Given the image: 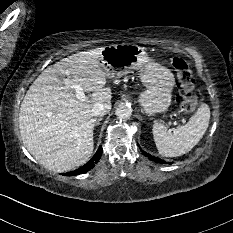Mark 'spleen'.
<instances>
[{"mask_svg": "<svg viewBox=\"0 0 233 233\" xmlns=\"http://www.w3.org/2000/svg\"><path fill=\"white\" fill-rule=\"evenodd\" d=\"M210 121V108L203 103L187 124L167 130L164 125L154 123L153 136L158 152L165 157H178L192 150L207 131Z\"/></svg>", "mask_w": 233, "mask_h": 233, "instance_id": "3e777b00", "label": "spleen"}]
</instances>
